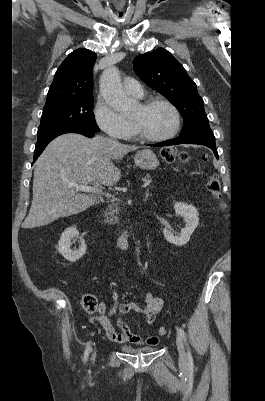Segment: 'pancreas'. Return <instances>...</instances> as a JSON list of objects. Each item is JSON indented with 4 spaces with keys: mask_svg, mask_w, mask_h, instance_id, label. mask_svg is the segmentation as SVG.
Returning a JSON list of instances; mask_svg holds the SVG:
<instances>
[{
    "mask_svg": "<svg viewBox=\"0 0 265 401\" xmlns=\"http://www.w3.org/2000/svg\"><path fill=\"white\" fill-rule=\"evenodd\" d=\"M144 178H151V176L150 174H147ZM107 211L108 213H105L106 223H110V225H112L113 221L116 223L118 217H115V215H118V207H116V205H109Z\"/></svg>",
    "mask_w": 265,
    "mask_h": 401,
    "instance_id": "obj_1",
    "label": "pancreas"
}]
</instances>
